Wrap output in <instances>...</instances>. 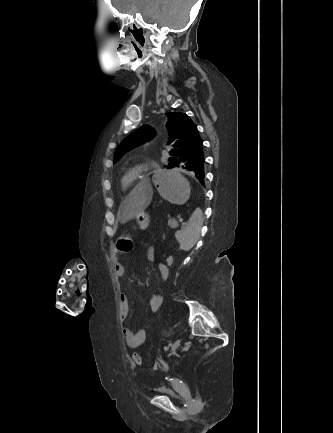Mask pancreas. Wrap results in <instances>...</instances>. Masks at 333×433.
<instances>
[{
	"mask_svg": "<svg viewBox=\"0 0 333 433\" xmlns=\"http://www.w3.org/2000/svg\"><path fill=\"white\" fill-rule=\"evenodd\" d=\"M168 225H169L172 229H175V228L178 227V223H177V221L174 220V219H169V221H168Z\"/></svg>",
	"mask_w": 333,
	"mask_h": 433,
	"instance_id": "cf45deb5",
	"label": "pancreas"
}]
</instances>
